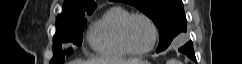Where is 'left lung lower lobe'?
Returning a JSON list of instances; mask_svg holds the SVG:
<instances>
[{
	"mask_svg": "<svg viewBox=\"0 0 242 64\" xmlns=\"http://www.w3.org/2000/svg\"><path fill=\"white\" fill-rule=\"evenodd\" d=\"M179 51L186 54L190 59H192L193 61H195L197 63L192 42L186 43L184 46H182L179 49ZM156 52L160 53L161 51H156Z\"/></svg>",
	"mask_w": 242,
	"mask_h": 64,
	"instance_id": "left-lung-lower-lobe-1",
	"label": "left lung lower lobe"
}]
</instances>
